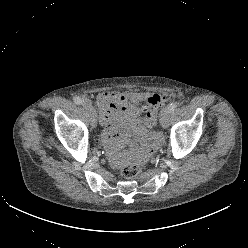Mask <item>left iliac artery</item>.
Wrapping results in <instances>:
<instances>
[{
	"mask_svg": "<svg viewBox=\"0 0 248 248\" xmlns=\"http://www.w3.org/2000/svg\"><path fill=\"white\" fill-rule=\"evenodd\" d=\"M177 107V102H172L171 104L168 105V109L171 111H174L175 108Z\"/></svg>",
	"mask_w": 248,
	"mask_h": 248,
	"instance_id": "1",
	"label": "left iliac artery"
}]
</instances>
